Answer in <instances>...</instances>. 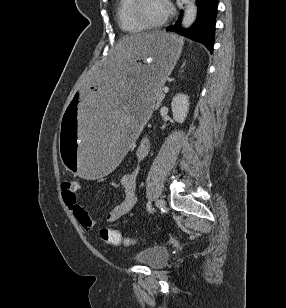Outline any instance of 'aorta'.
Instances as JSON below:
<instances>
[{
	"label": "aorta",
	"mask_w": 286,
	"mask_h": 308,
	"mask_svg": "<svg viewBox=\"0 0 286 308\" xmlns=\"http://www.w3.org/2000/svg\"><path fill=\"white\" fill-rule=\"evenodd\" d=\"M197 17L196 0H187L182 19V27L189 28L193 25Z\"/></svg>",
	"instance_id": "obj_1"
}]
</instances>
